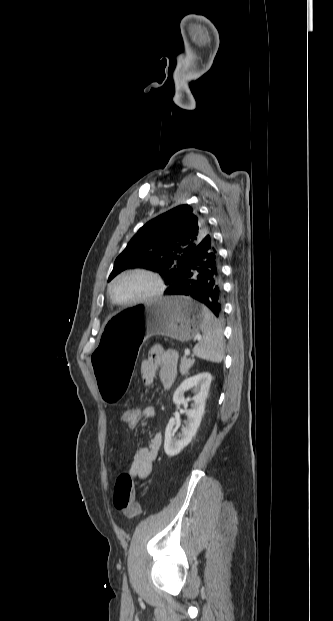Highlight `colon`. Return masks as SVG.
<instances>
[{"label":"colon","mask_w":333,"mask_h":621,"mask_svg":"<svg viewBox=\"0 0 333 621\" xmlns=\"http://www.w3.org/2000/svg\"><path fill=\"white\" fill-rule=\"evenodd\" d=\"M142 419V410L127 408L122 413L123 422L131 429L136 428ZM114 505L127 518H134L139 514L140 507L135 500V490L132 477L129 473L118 476L114 486Z\"/></svg>","instance_id":"obj_1"}]
</instances>
